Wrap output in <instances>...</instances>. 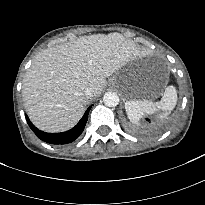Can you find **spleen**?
<instances>
[{"instance_id": "3e777b00", "label": "spleen", "mask_w": 205, "mask_h": 205, "mask_svg": "<svg viewBox=\"0 0 205 205\" xmlns=\"http://www.w3.org/2000/svg\"><path fill=\"white\" fill-rule=\"evenodd\" d=\"M176 102V88L170 85L165 89L160 101L130 100L125 103V109L129 120L136 124L145 114H151L155 111H164L167 114L174 109Z\"/></svg>"}]
</instances>
